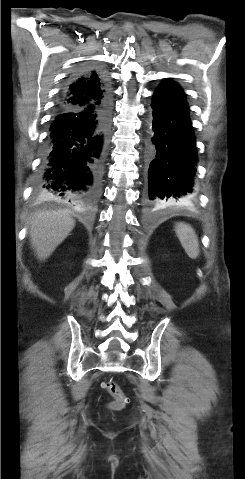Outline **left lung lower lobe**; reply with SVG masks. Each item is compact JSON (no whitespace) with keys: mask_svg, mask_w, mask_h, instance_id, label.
Here are the masks:
<instances>
[{"mask_svg":"<svg viewBox=\"0 0 245 479\" xmlns=\"http://www.w3.org/2000/svg\"><path fill=\"white\" fill-rule=\"evenodd\" d=\"M155 146L147 173L146 201L170 205L194 195L196 166L195 136L183 90L165 80L156 90L152 103Z\"/></svg>","mask_w":245,"mask_h":479,"instance_id":"left-lung-lower-lobe-1","label":"left lung lower lobe"}]
</instances>
